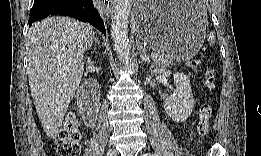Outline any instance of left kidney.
<instances>
[{
	"instance_id": "obj_1",
	"label": "left kidney",
	"mask_w": 261,
	"mask_h": 156,
	"mask_svg": "<svg viewBox=\"0 0 261 156\" xmlns=\"http://www.w3.org/2000/svg\"><path fill=\"white\" fill-rule=\"evenodd\" d=\"M173 78L177 90L166 98L164 108L175 122L180 123L186 121L191 115L195 100L189 76L184 73H175Z\"/></svg>"
}]
</instances>
